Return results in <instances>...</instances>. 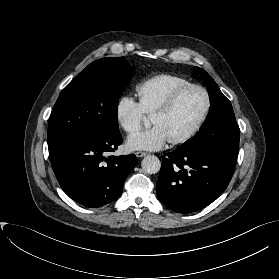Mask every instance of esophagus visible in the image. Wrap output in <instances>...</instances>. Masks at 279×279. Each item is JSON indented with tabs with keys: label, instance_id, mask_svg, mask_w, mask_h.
<instances>
[{
	"label": "esophagus",
	"instance_id": "obj_1",
	"mask_svg": "<svg viewBox=\"0 0 279 279\" xmlns=\"http://www.w3.org/2000/svg\"><path fill=\"white\" fill-rule=\"evenodd\" d=\"M148 153L147 152H144V151H137L136 153H135V155L137 156V157H144V156H146Z\"/></svg>",
	"mask_w": 279,
	"mask_h": 279
}]
</instances>
